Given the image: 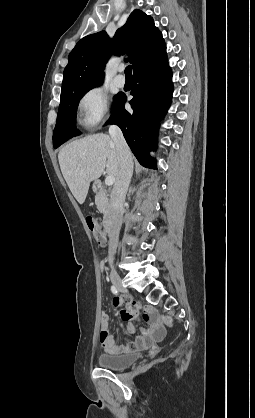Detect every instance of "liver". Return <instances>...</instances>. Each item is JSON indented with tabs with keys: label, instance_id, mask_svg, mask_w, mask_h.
Masks as SVG:
<instances>
[{
	"label": "liver",
	"instance_id": "1",
	"mask_svg": "<svg viewBox=\"0 0 255 418\" xmlns=\"http://www.w3.org/2000/svg\"><path fill=\"white\" fill-rule=\"evenodd\" d=\"M58 160L63 177L79 204L85 202L90 183L106 173L116 178L118 154L109 135L98 133L63 147Z\"/></svg>",
	"mask_w": 255,
	"mask_h": 418
}]
</instances>
